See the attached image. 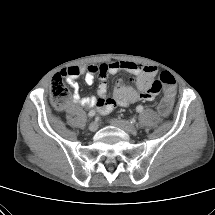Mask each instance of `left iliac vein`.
Masks as SVG:
<instances>
[{
  "label": "left iliac vein",
  "instance_id": "1",
  "mask_svg": "<svg viewBox=\"0 0 215 215\" xmlns=\"http://www.w3.org/2000/svg\"><path fill=\"white\" fill-rule=\"evenodd\" d=\"M110 123L120 129L124 130L125 132H127L129 134H135L137 132V129L135 128V126H133L130 122H128L126 120L111 119Z\"/></svg>",
  "mask_w": 215,
  "mask_h": 215
}]
</instances>
